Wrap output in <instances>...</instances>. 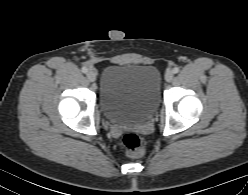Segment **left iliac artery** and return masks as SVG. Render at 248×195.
I'll return each instance as SVG.
<instances>
[{"mask_svg":"<svg viewBox=\"0 0 248 195\" xmlns=\"http://www.w3.org/2000/svg\"><path fill=\"white\" fill-rule=\"evenodd\" d=\"M173 72H174V73H178V72H179V68H178V67H175V68L173 69Z\"/></svg>","mask_w":248,"mask_h":195,"instance_id":"1","label":"left iliac artery"}]
</instances>
